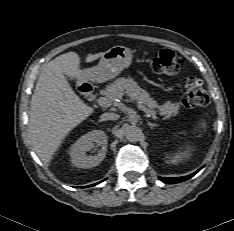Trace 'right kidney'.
<instances>
[{"label": "right kidney", "instance_id": "1", "mask_svg": "<svg viewBox=\"0 0 234 231\" xmlns=\"http://www.w3.org/2000/svg\"><path fill=\"white\" fill-rule=\"evenodd\" d=\"M108 137L102 130H93L79 138L71 147L70 157L74 166L78 168H92L98 166L105 158ZM100 150L94 156L87 155L94 144Z\"/></svg>", "mask_w": 234, "mask_h": 231}]
</instances>
